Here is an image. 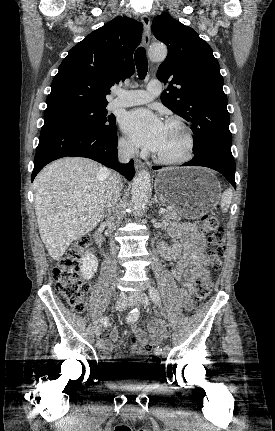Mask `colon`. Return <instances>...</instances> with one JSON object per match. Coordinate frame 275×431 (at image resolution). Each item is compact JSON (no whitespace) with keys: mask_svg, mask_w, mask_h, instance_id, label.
<instances>
[{"mask_svg":"<svg viewBox=\"0 0 275 431\" xmlns=\"http://www.w3.org/2000/svg\"><path fill=\"white\" fill-rule=\"evenodd\" d=\"M201 230L208 235L206 252L213 268L220 267L225 253V237L218 219L212 214H204L200 219ZM90 249L89 241L81 239L76 246L69 249L58 261L52 271L55 286L61 297L66 300L74 312L82 313L85 310V297L89 284L81 278L80 269L83 255ZM211 275L203 270L196 280L195 297L191 302V309L197 310L211 291ZM133 345L138 344L136 336L132 337ZM151 346L146 345L147 352ZM151 365H157L159 360L152 357Z\"/></svg>","mask_w":275,"mask_h":431,"instance_id":"5ec220e1","label":"colon"}]
</instances>
